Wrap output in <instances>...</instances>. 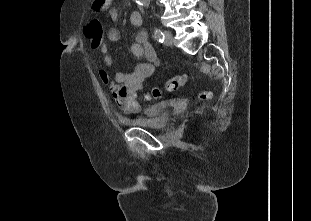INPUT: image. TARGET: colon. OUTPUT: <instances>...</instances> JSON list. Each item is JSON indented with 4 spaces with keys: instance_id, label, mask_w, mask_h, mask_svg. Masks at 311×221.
<instances>
[{
    "instance_id": "colon-1",
    "label": "colon",
    "mask_w": 311,
    "mask_h": 221,
    "mask_svg": "<svg viewBox=\"0 0 311 221\" xmlns=\"http://www.w3.org/2000/svg\"><path fill=\"white\" fill-rule=\"evenodd\" d=\"M88 36L93 49H98L103 40V26L99 19L94 18L87 24ZM188 83V75L186 73L175 75L170 78L164 85L156 86L144 95V99L150 102L153 99L162 97L163 93H172L177 89L184 87ZM211 93L204 90L201 93L202 99L210 98Z\"/></svg>"
}]
</instances>
